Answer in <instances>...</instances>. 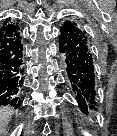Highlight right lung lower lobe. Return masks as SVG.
<instances>
[{
  "label": "right lung lower lobe",
  "mask_w": 117,
  "mask_h": 136,
  "mask_svg": "<svg viewBox=\"0 0 117 136\" xmlns=\"http://www.w3.org/2000/svg\"><path fill=\"white\" fill-rule=\"evenodd\" d=\"M18 24L0 35V105H21L20 91L24 80L23 46Z\"/></svg>",
  "instance_id": "right-lung-lower-lobe-1"
}]
</instances>
